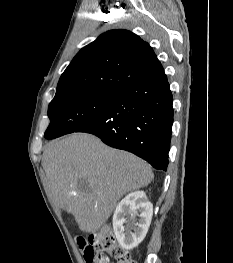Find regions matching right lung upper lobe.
<instances>
[{"mask_svg": "<svg viewBox=\"0 0 233 263\" xmlns=\"http://www.w3.org/2000/svg\"><path fill=\"white\" fill-rule=\"evenodd\" d=\"M164 72L147 42L111 30L82 48L63 72L55 96L83 90L119 92Z\"/></svg>", "mask_w": 233, "mask_h": 263, "instance_id": "cb5924a9", "label": "right lung upper lobe"}]
</instances>
